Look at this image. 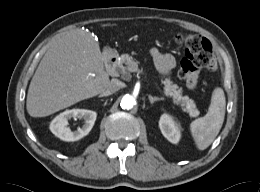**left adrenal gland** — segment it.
Returning a JSON list of instances; mask_svg holds the SVG:
<instances>
[{
    "mask_svg": "<svg viewBox=\"0 0 260 192\" xmlns=\"http://www.w3.org/2000/svg\"><path fill=\"white\" fill-rule=\"evenodd\" d=\"M148 98H149V101L151 104H153L154 102L156 101H160V100H163V98H158V97H153L152 95H148Z\"/></svg>",
    "mask_w": 260,
    "mask_h": 192,
    "instance_id": "left-adrenal-gland-1",
    "label": "left adrenal gland"
}]
</instances>
